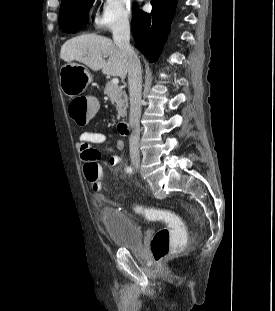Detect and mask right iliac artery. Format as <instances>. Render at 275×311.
I'll return each instance as SVG.
<instances>
[{"mask_svg":"<svg viewBox=\"0 0 275 311\" xmlns=\"http://www.w3.org/2000/svg\"><path fill=\"white\" fill-rule=\"evenodd\" d=\"M132 171H133V168L131 166L126 168V172L127 173H132Z\"/></svg>","mask_w":275,"mask_h":311,"instance_id":"obj_1","label":"right iliac artery"}]
</instances>
